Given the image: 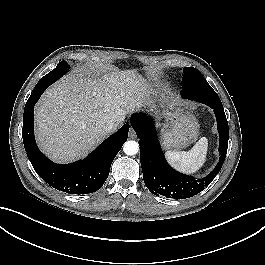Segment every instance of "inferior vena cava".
<instances>
[{
	"mask_svg": "<svg viewBox=\"0 0 265 265\" xmlns=\"http://www.w3.org/2000/svg\"><path fill=\"white\" fill-rule=\"evenodd\" d=\"M105 131L108 133H112L117 129V124L114 122H110L105 126Z\"/></svg>",
	"mask_w": 265,
	"mask_h": 265,
	"instance_id": "inferior-vena-cava-1",
	"label": "inferior vena cava"
}]
</instances>
